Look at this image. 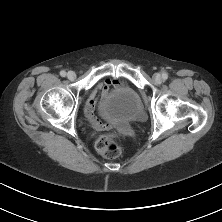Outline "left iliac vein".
<instances>
[{
    "instance_id": "left-iliac-vein-1",
    "label": "left iliac vein",
    "mask_w": 222,
    "mask_h": 222,
    "mask_svg": "<svg viewBox=\"0 0 222 222\" xmlns=\"http://www.w3.org/2000/svg\"><path fill=\"white\" fill-rule=\"evenodd\" d=\"M154 80L157 82V83H160L162 81V77L159 73H156L154 75Z\"/></svg>"
}]
</instances>
